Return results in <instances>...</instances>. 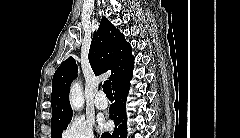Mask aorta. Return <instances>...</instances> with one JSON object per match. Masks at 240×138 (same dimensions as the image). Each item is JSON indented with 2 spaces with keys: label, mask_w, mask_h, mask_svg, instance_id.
Here are the masks:
<instances>
[{
  "label": "aorta",
  "mask_w": 240,
  "mask_h": 138,
  "mask_svg": "<svg viewBox=\"0 0 240 138\" xmlns=\"http://www.w3.org/2000/svg\"><path fill=\"white\" fill-rule=\"evenodd\" d=\"M70 102L74 110L81 109L84 104L82 88L79 82H75L72 84L70 90Z\"/></svg>",
  "instance_id": "1"
}]
</instances>
